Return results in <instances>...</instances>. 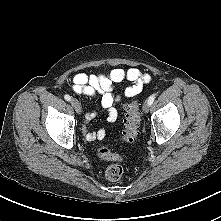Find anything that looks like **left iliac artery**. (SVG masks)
Instances as JSON below:
<instances>
[{
    "label": "left iliac artery",
    "instance_id": "1",
    "mask_svg": "<svg viewBox=\"0 0 221 221\" xmlns=\"http://www.w3.org/2000/svg\"><path fill=\"white\" fill-rule=\"evenodd\" d=\"M155 95H156V94H152V95L148 98V103H149V105H151V104L154 102V100H155Z\"/></svg>",
    "mask_w": 221,
    "mask_h": 221
}]
</instances>
